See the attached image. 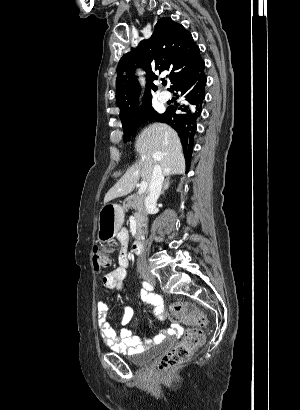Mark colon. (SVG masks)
I'll use <instances>...</instances> for the list:
<instances>
[{"instance_id": "5ec220e1", "label": "colon", "mask_w": 300, "mask_h": 410, "mask_svg": "<svg viewBox=\"0 0 300 410\" xmlns=\"http://www.w3.org/2000/svg\"><path fill=\"white\" fill-rule=\"evenodd\" d=\"M93 262L96 270H106L111 266L110 249H95ZM172 311L180 316V326H187L182 341L168 350L158 361V368L162 372L186 364L193 352L204 344L205 337L201 327L206 325V316L192 303L175 302Z\"/></svg>"}]
</instances>
